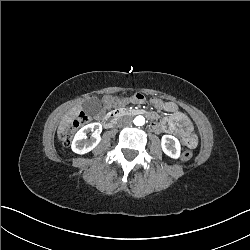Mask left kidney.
<instances>
[{
	"instance_id": "left-kidney-1",
	"label": "left kidney",
	"mask_w": 250,
	"mask_h": 250,
	"mask_svg": "<svg viewBox=\"0 0 250 250\" xmlns=\"http://www.w3.org/2000/svg\"><path fill=\"white\" fill-rule=\"evenodd\" d=\"M162 149L163 151L173 157L176 158L180 154V145L178 140L171 135H164L162 138Z\"/></svg>"
}]
</instances>
